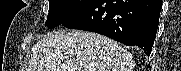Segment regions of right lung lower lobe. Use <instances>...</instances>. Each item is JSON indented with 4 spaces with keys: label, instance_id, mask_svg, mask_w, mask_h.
I'll use <instances>...</instances> for the list:
<instances>
[{
    "label": "right lung lower lobe",
    "instance_id": "obj_1",
    "mask_svg": "<svg viewBox=\"0 0 181 71\" xmlns=\"http://www.w3.org/2000/svg\"><path fill=\"white\" fill-rule=\"evenodd\" d=\"M162 0H94L61 25L103 34L149 56L156 37Z\"/></svg>",
    "mask_w": 181,
    "mask_h": 71
}]
</instances>
